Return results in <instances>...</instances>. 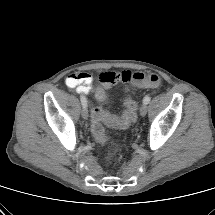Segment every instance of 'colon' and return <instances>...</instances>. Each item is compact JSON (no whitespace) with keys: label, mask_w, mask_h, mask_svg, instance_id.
I'll use <instances>...</instances> for the list:
<instances>
[{"label":"colon","mask_w":215,"mask_h":215,"mask_svg":"<svg viewBox=\"0 0 215 215\" xmlns=\"http://www.w3.org/2000/svg\"><path fill=\"white\" fill-rule=\"evenodd\" d=\"M131 83L139 87H156L160 83V77L157 74H143L140 72L131 75ZM138 105L132 98L125 100V111L120 118H112L101 110H95L92 114L91 131L94 138L101 144L108 141L105 135L103 122L108 121L117 128H127L137 118ZM113 157V153L108 156V159Z\"/></svg>","instance_id":"1"}]
</instances>
